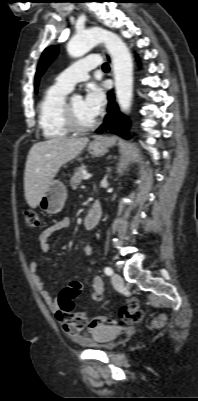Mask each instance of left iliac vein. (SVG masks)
Instances as JSON below:
<instances>
[{"instance_id":"left-iliac-vein-1","label":"left iliac vein","mask_w":198,"mask_h":401,"mask_svg":"<svg viewBox=\"0 0 198 401\" xmlns=\"http://www.w3.org/2000/svg\"><path fill=\"white\" fill-rule=\"evenodd\" d=\"M112 283L118 289L123 287V279L118 273L112 275Z\"/></svg>"}]
</instances>
